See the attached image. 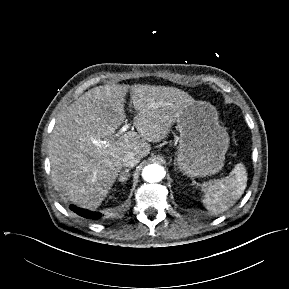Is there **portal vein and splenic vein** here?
<instances>
[{
	"mask_svg": "<svg viewBox=\"0 0 289 289\" xmlns=\"http://www.w3.org/2000/svg\"><path fill=\"white\" fill-rule=\"evenodd\" d=\"M129 128V125L126 124L124 125L120 130L119 132L116 134L117 137H120L125 131H127V129ZM93 143L100 146L101 144H106L105 141H102V142H99V141H96V140H93Z\"/></svg>",
	"mask_w": 289,
	"mask_h": 289,
	"instance_id": "1",
	"label": "portal vein and splenic vein"
}]
</instances>
